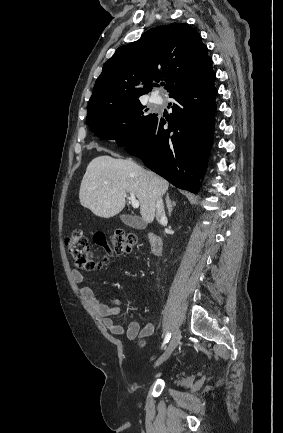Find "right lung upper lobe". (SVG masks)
Returning a JSON list of instances; mask_svg holds the SVG:
<instances>
[{
  "mask_svg": "<svg viewBox=\"0 0 283 433\" xmlns=\"http://www.w3.org/2000/svg\"><path fill=\"white\" fill-rule=\"evenodd\" d=\"M213 74L212 59L199 33L188 24L159 26L139 40L119 47L104 64L88 104V115L139 101L152 90L153 81L164 79L165 89L172 93Z\"/></svg>",
  "mask_w": 283,
  "mask_h": 433,
  "instance_id": "obj_1",
  "label": "right lung upper lobe"
}]
</instances>
